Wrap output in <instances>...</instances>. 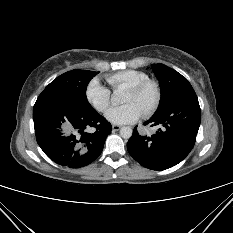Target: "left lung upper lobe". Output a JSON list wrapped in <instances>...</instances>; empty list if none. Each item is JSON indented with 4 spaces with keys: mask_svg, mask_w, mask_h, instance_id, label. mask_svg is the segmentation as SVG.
Listing matches in <instances>:
<instances>
[{
    "mask_svg": "<svg viewBox=\"0 0 233 233\" xmlns=\"http://www.w3.org/2000/svg\"><path fill=\"white\" fill-rule=\"evenodd\" d=\"M152 70L159 80L161 89L160 103L153 115L156 116L165 110L178 91L189 82L180 73L164 64H152Z\"/></svg>",
    "mask_w": 233,
    "mask_h": 233,
    "instance_id": "5c2ea615",
    "label": "left lung upper lobe"
}]
</instances>
